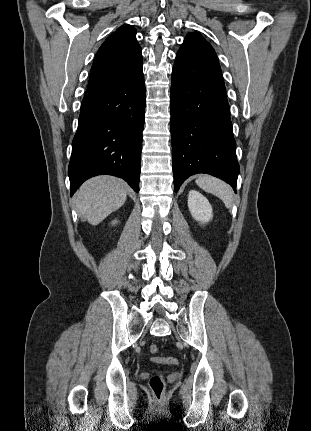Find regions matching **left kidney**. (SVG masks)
<instances>
[{
	"label": "left kidney",
	"mask_w": 311,
	"mask_h": 431,
	"mask_svg": "<svg viewBox=\"0 0 311 431\" xmlns=\"http://www.w3.org/2000/svg\"><path fill=\"white\" fill-rule=\"evenodd\" d=\"M188 208L190 210V214L196 221H201V223H205V221H210L212 219V206L209 204L207 198H204L202 194L199 192H195V190H190L188 194Z\"/></svg>",
	"instance_id": "1"
}]
</instances>
